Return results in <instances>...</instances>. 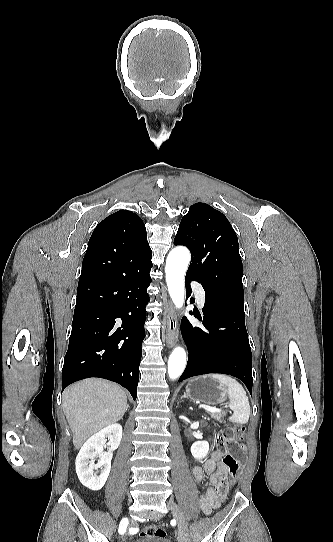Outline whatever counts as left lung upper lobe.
Returning <instances> with one entry per match:
<instances>
[{
	"label": "left lung upper lobe",
	"instance_id": "left-lung-upper-lobe-1",
	"mask_svg": "<svg viewBox=\"0 0 333 542\" xmlns=\"http://www.w3.org/2000/svg\"><path fill=\"white\" fill-rule=\"evenodd\" d=\"M174 244L190 250L186 275L199 281L205 292L244 300L238 239L224 214L206 203H195L182 218Z\"/></svg>",
	"mask_w": 333,
	"mask_h": 542
}]
</instances>
